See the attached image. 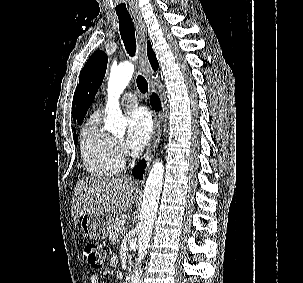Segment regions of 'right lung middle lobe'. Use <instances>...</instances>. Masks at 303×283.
I'll use <instances>...</instances> for the list:
<instances>
[{
  "mask_svg": "<svg viewBox=\"0 0 303 283\" xmlns=\"http://www.w3.org/2000/svg\"><path fill=\"white\" fill-rule=\"evenodd\" d=\"M74 132H76V130H74ZM73 137H74V143H75V145L77 144V135L74 133L73 134Z\"/></svg>",
  "mask_w": 303,
  "mask_h": 283,
  "instance_id": "dd1d6c3e",
  "label": "right lung middle lobe"
}]
</instances>
